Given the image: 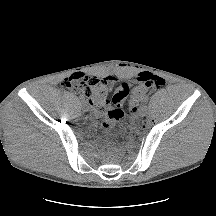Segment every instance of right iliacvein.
<instances>
[{"label": "right iliac vein", "instance_id": "63e3f726", "mask_svg": "<svg viewBox=\"0 0 216 216\" xmlns=\"http://www.w3.org/2000/svg\"><path fill=\"white\" fill-rule=\"evenodd\" d=\"M80 107L83 108L81 105ZM82 111L85 112L87 115L90 113L87 109L85 111L82 109Z\"/></svg>", "mask_w": 216, "mask_h": 216}]
</instances>
